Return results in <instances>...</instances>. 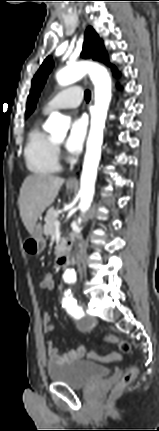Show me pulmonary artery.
<instances>
[{"label":"pulmonary artery","mask_w":159,"mask_h":431,"mask_svg":"<svg viewBox=\"0 0 159 431\" xmlns=\"http://www.w3.org/2000/svg\"><path fill=\"white\" fill-rule=\"evenodd\" d=\"M83 92L80 86H70L55 94L43 107V113L48 114L59 109L76 108L80 105Z\"/></svg>","instance_id":"obj_1"}]
</instances>
